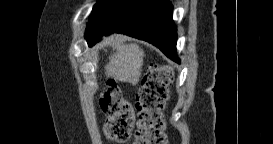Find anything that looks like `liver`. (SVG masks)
<instances>
[{"label": "liver", "instance_id": "liver-1", "mask_svg": "<svg viewBox=\"0 0 273 144\" xmlns=\"http://www.w3.org/2000/svg\"><path fill=\"white\" fill-rule=\"evenodd\" d=\"M127 37L113 34L107 38L115 52L109 56V63L105 66V74L121 82L137 85L141 77L144 51L135 43L126 44Z\"/></svg>", "mask_w": 273, "mask_h": 144}]
</instances>
